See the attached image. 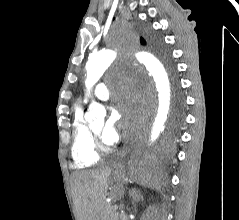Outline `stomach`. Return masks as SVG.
Masks as SVG:
<instances>
[{
  "mask_svg": "<svg viewBox=\"0 0 239 220\" xmlns=\"http://www.w3.org/2000/svg\"><path fill=\"white\" fill-rule=\"evenodd\" d=\"M117 186H122L123 183H116ZM118 192H122V191H118Z\"/></svg>",
  "mask_w": 239,
  "mask_h": 220,
  "instance_id": "1",
  "label": "stomach"
}]
</instances>
